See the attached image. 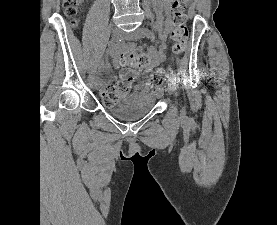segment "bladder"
<instances>
[{
    "label": "bladder",
    "mask_w": 277,
    "mask_h": 225,
    "mask_svg": "<svg viewBox=\"0 0 277 225\" xmlns=\"http://www.w3.org/2000/svg\"><path fill=\"white\" fill-rule=\"evenodd\" d=\"M158 97V93L152 89L136 90L117 103L107 104V109L121 120H139L151 112Z\"/></svg>",
    "instance_id": "obj_1"
}]
</instances>
